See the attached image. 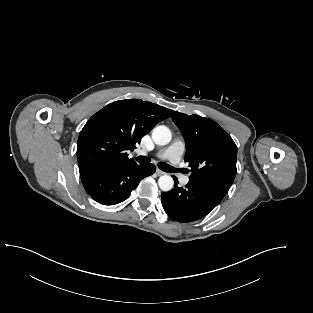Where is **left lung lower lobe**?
Returning a JSON list of instances; mask_svg holds the SVG:
<instances>
[{"instance_id":"1","label":"left lung lower lobe","mask_w":313,"mask_h":313,"mask_svg":"<svg viewBox=\"0 0 313 313\" xmlns=\"http://www.w3.org/2000/svg\"><path fill=\"white\" fill-rule=\"evenodd\" d=\"M175 185L169 192L161 194L163 208L172 219L188 223L203 218L224 198L223 196L188 183L185 188Z\"/></svg>"}]
</instances>
